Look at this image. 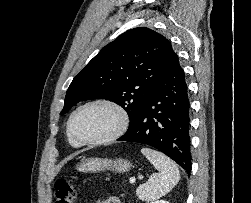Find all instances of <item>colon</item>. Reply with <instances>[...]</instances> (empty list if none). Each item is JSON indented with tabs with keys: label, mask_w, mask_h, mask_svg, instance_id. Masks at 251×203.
Masks as SVG:
<instances>
[{
	"label": "colon",
	"mask_w": 251,
	"mask_h": 203,
	"mask_svg": "<svg viewBox=\"0 0 251 203\" xmlns=\"http://www.w3.org/2000/svg\"><path fill=\"white\" fill-rule=\"evenodd\" d=\"M76 196L74 185L65 179L55 183V203H73Z\"/></svg>",
	"instance_id": "colon-1"
}]
</instances>
